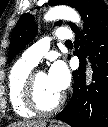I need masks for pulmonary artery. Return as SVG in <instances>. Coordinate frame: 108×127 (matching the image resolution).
<instances>
[{
  "label": "pulmonary artery",
  "instance_id": "1",
  "mask_svg": "<svg viewBox=\"0 0 108 127\" xmlns=\"http://www.w3.org/2000/svg\"><path fill=\"white\" fill-rule=\"evenodd\" d=\"M56 38L67 41L72 38V33L67 28H59L56 31ZM50 41V37L42 38L23 53L22 59L34 66L37 65L41 58L48 52Z\"/></svg>",
  "mask_w": 108,
  "mask_h": 127
}]
</instances>
